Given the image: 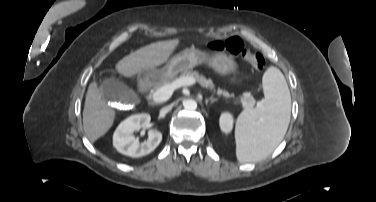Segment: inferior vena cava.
<instances>
[{"label":"inferior vena cava","mask_w":376,"mask_h":202,"mask_svg":"<svg viewBox=\"0 0 376 202\" xmlns=\"http://www.w3.org/2000/svg\"><path fill=\"white\" fill-rule=\"evenodd\" d=\"M171 110V106H166L160 110V115H165Z\"/></svg>","instance_id":"obj_1"}]
</instances>
